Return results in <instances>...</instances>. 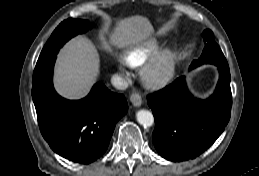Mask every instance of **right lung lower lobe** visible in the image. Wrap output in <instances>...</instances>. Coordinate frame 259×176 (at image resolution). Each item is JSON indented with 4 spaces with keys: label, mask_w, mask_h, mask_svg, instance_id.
I'll use <instances>...</instances> for the list:
<instances>
[{
    "label": "right lung lower lobe",
    "mask_w": 259,
    "mask_h": 176,
    "mask_svg": "<svg viewBox=\"0 0 259 176\" xmlns=\"http://www.w3.org/2000/svg\"><path fill=\"white\" fill-rule=\"evenodd\" d=\"M59 49L39 57L34 69L32 98L41 133L52 150L76 163L89 164L105 153L115 124L128 111L124 95L96 83L78 101L59 96L52 83Z\"/></svg>",
    "instance_id": "98d812e1"
}]
</instances>
